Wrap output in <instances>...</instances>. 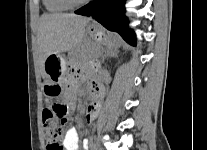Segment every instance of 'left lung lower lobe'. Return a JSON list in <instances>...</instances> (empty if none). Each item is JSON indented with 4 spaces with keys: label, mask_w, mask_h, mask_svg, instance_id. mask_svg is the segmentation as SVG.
<instances>
[{
    "label": "left lung lower lobe",
    "mask_w": 207,
    "mask_h": 150,
    "mask_svg": "<svg viewBox=\"0 0 207 150\" xmlns=\"http://www.w3.org/2000/svg\"><path fill=\"white\" fill-rule=\"evenodd\" d=\"M125 0H94L75 11L76 14L92 16L110 31L119 33L124 40L136 46L133 30L128 29L125 16Z\"/></svg>",
    "instance_id": "0a47b994"
}]
</instances>
